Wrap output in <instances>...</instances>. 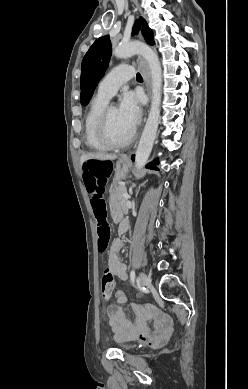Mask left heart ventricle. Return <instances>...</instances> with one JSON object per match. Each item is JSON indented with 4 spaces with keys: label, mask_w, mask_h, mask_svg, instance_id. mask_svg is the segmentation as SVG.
<instances>
[{
    "label": "left heart ventricle",
    "mask_w": 248,
    "mask_h": 389,
    "mask_svg": "<svg viewBox=\"0 0 248 389\" xmlns=\"http://www.w3.org/2000/svg\"><path fill=\"white\" fill-rule=\"evenodd\" d=\"M110 132L116 140H123L132 132V129L121 117L118 107L114 105L110 108Z\"/></svg>",
    "instance_id": "obj_1"
}]
</instances>
